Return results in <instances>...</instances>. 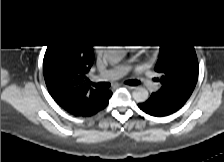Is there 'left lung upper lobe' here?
Instances as JSON below:
<instances>
[{
  "instance_id": "5c2ea615",
  "label": "left lung upper lobe",
  "mask_w": 224,
  "mask_h": 162,
  "mask_svg": "<svg viewBox=\"0 0 224 162\" xmlns=\"http://www.w3.org/2000/svg\"><path fill=\"white\" fill-rule=\"evenodd\" d=\"M155 71L161 74L162 87L156 92L158 96L187 101L198 80L199 67L194 47L180 38H164Z\"/></svg>"
}]
</instances>
